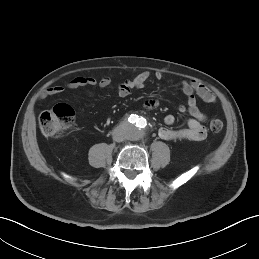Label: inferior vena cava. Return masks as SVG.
I'll list each match as a JSON object with an SVG mask.
<instances>
[{
    "instance_id": "1",
    "label": "inferior vena cava",
    "mask_w": 259,
    "mask_h": 259,
    "mask_svg": "<svg viewBox=\"0 0 259 259\" xmlns=\"http://www.w3.org/2000/svg\"><path fill=\"white\" fill-rule=\"evenodd\" d=\"M113 140L116 142H122L124 140V135L120 131H114L113 132Z\"/></svg>"
}]
</instances>
